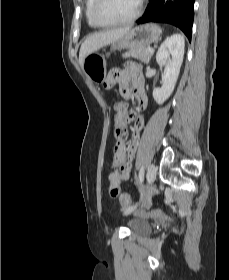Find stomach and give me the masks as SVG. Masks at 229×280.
Returning <instances> with one entry per match:
<instances>
[{
	"label": "stomach",
	"mask_w": 229,
	"mask_h": 280,
	"mask_svg": "<svg viewBox=\"0 0 229 280\" xmlns=\"http://www.w3.org/2000/svg\"><path fill=\"white\" fill-rule=\"evenodd\" d=\"M161 29L155 24H144L131 29L126 35L111 43V50L145 48L156 42ZM106 59L97 53L86 56L81 64L83 71L93 82L100 83L106 77Z\"/></svg>",
	"instance_id": "stomach-1"
}]
</instances>
